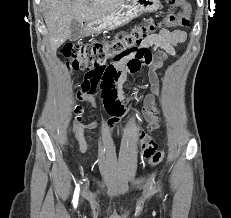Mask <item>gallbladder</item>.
Here are the masks:
<instances>
[{"label": "gallbladder", "instance_id": "1", "mask_svg": "<svg viewBox=\"0 0 231 218\" xmlns=\"http://www.w3.org/2000/svg\"><path fill=\"white\" fill-rule=\"evenodd\" d=\"M82 30H83V23L79 22L76 19H73L70 23V31H71L70 40L75 41L79 39L81 37Z\"/></svg>", "mask_w": 231, "mask_h": 218}]
</instances>
